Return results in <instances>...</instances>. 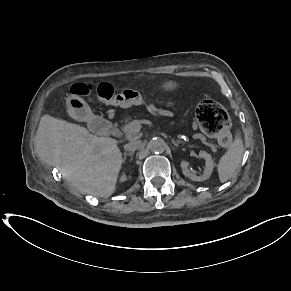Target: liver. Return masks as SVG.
Returning <instances> with one entry per match:
<instances>
[{
	"mask_svg": "<svg viewBox=\"0 0 291 291\" xmlns=\"http://www.w3.org/2000/svg\"><path fill=\"white\" fill-rule=\"evenodd\" d=\"M117 143L113 138L94 136L80 125L44 115L35 148L81 194L108 198L115 192L123 162Z\"/></svg>",
	"mask_w": 291,
	"mask_h": 291,
	"instance_id": "1",
	"label": "liver"
}]
</instances>
